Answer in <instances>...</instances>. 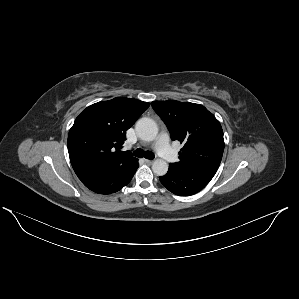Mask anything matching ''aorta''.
Here are the masks:
<instances>
[{"label": "aorta", "mask_w": 299, "mask_h": 299, "mask_svg": "<svg viewBox=\"0 0 299 299\" xmlns=\"http://www.w3.org/2000/svg\"><path fill=\"white\" fill-rule=\"evenodd\" d=\"M136 132L140 139L153 141L158 135V126L151 118H141L136 123ZM153 172L158 176H164L168 171V163L163 159H156L152 164Z\"/></svg>", "instance_id": "762f6f07"}]
</instances>
